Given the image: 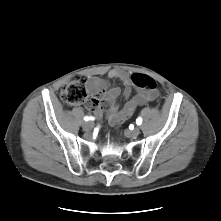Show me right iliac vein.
I'll return each mask as SVG.
<instances>
[{
  "label": "right iliac vein",
  "mask_w": 221,
  "mask_h": 221,
  "mask_svg": "<svg viewBox=\"0 0 221 221\" xmlns=\"http://www.w3.org/2000/svg\"><path fill=\"white\" fill-rule=\"evenodd\" d=\"M93 127H94V124L92 122H85L83 124V129L87 132L91 131L93 129Z\"/></svg>",
  "instance_id": "obj_1"
}]
</instances>
